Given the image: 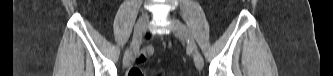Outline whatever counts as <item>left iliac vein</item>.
Masks as SVG:
<instances>
[{"instance_id":"obj_1","label":"left iliac vein","mask_w":333,"mask_h":76,"mask_svg":"<svg viewBox=\"0 0 333 76\" xmlns=\"http://www.w3.org/2000/svg\"><path fill=\"white\" fill-rule=\"evenodd\" d=\"M171 21V29L174 33V35L179 38V39H185L187 37V31L185 26L176 18L170 17L169 18ZM190 50L193 53V59L195 66L198 70H201L203 68V58L201 54L193 47L190 45Z\"/></svg>"}]
</instances>
